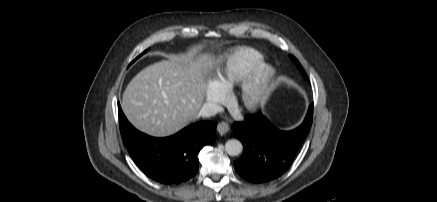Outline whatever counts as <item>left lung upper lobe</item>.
<instances>
[{
  "label": "left lung upper lobe",
  "instance_id": "left-lung-upper-lobe-1",
  "mask_svg": "<svg viewBox=\"0 0 437 202\" xmlns=\"http://www.w3.org/2000/svg\"><path fill=\"white\" fill-rule=\"evenodd\" d=\"M291 59H292V61L296 64V66L298 67L299 71L302 73L303 77H304L305 79H308V76H307V74L305 73V71H304V69L302 68V66L300 65L299 61H298L294 56H292V55H291Z\"/></svg>",
  "mask_w": 437,
  "mask_h": 202
}]
</instances>
